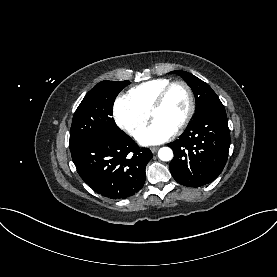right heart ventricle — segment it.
Here are the masks:
<instances>
[{"label": "right heart ventricle", "instance_id": "right-heart-ventricle-1", "mask_svg": "<svg viewBox=\"0 0 277 277\" xmlns=\"http://www.w3.org/2000/svg\"><path fill=\"white\" fill-rule=\"evenodd\" d=\"M171 81L166 78H158L143 82L137 86L132 87L128 91V97L135 104V106L145 115L155 101L161 90Z\"/></svg>", "mask_w": 277, "mask_h": 277}]
</instances>
